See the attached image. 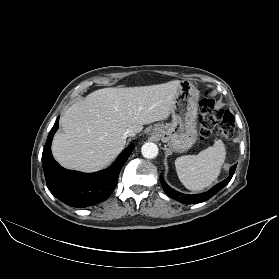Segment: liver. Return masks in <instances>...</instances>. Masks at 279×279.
<instances>
[{
	"instance_id": "liver-1",
	"label": "liver",
	"mask_w": 279,
	"mask_h": 279,
	"mask_svg": "<svg viewBox=\"0 0 279 279\" xmlns=\"http://www.w3.org/2000/svg\"><path fill=\"white\" fill-rule=\"evenodd\" d=\"M180 81L164 84L103 88L70 106L60 120L52 154L65 168L94 172L107 166L124 149L126 131L169 117Z\"/></svg>"
}]
</instances>
